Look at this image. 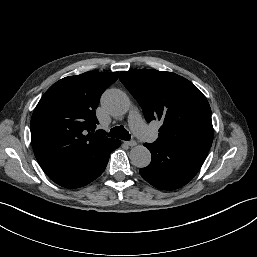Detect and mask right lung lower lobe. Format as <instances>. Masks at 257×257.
Returning a JSON list of instances; mask_svg holds the SVG:
<instances>
[{
	"instance_id": "1",
	"label": "right lung lower lobe",
	"mask_w": 257,
	"mask_h": 257,
	"mask_svg": "<svg viewBox=\"0 0 257 257\" xmlns=\"http://www.w3.org/2000/svg\"><path fill=\"white\" fill-rule=\"evenodd\" d=\"M121 142L113 139L105 149L70 170L49 175V178L65 188L85 186L101 175L107 166L110 153L118 148Z\"/></svg>"
}]
</instances>
